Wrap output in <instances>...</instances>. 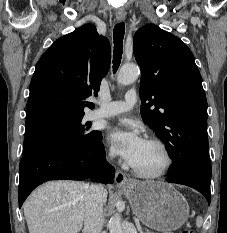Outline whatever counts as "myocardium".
I'll return each instance as SVG.
<instances>
[{
  "label": "myocardium",
  "mask_w": 227,
  "mask_h": 233,
  "mask_svg": "<svg viewBox=\"0 0 227 233\" xmlns=\"http://www.w3.org/2000/svg\"><path fill=\"white\" fill-rule=\"evenodd\" d=\"M146 142L156 145L161 150L164 156V160H165L164 165L162 166L161 169L154 171V172L142 171L136 168L135 166H133L132 164H130V168L132 172L138 177L145 178V179L160 178L166 175L172 167L173 158H172L171 152L169 148L167 147V145L158 138H149L146 140Z\"/></svg>",
  "instance_id": "1"
}]
</instances>
